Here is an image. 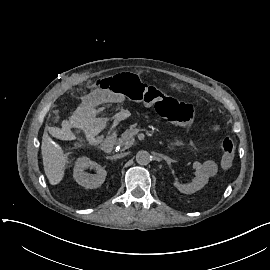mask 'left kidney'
<instances>
[{"label": "left kidney", "instance_id": "1", "mask_svg": "<svg viewBox=\"0 0 270 270\" xmlns=\"http://www.w3.org/2000/svg\"><path fill=\"white\" fill-rule=\"evenodd\" d=\"M192 167L196 170V176L193 178L190 184H180L178 179L174 180L173 182L174 187H176V189L181 193L194 194L208 183L209 176L204 171L202 164L196 161L192 164Z\"/></svg>", "mask_w": 270, "mask_h": 270}]
</instances>
